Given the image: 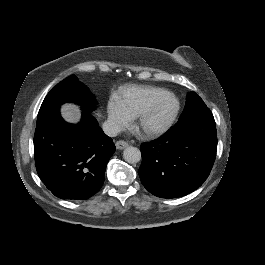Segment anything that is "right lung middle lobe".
Masks as SVG:
<instances>
[{
    "label": "right lung middle lobe",
    "instance_id": "right-lung-middle-lobe-1",
    "mask_svg": "<svg viewBox=\"0 0 265 265\" xmlns=\"http://www.w3.org/2000/svg\"><path fill=\"white\" fill-rule=\"evenodd\" d=\"M67 102L79 103L83 106L84 112L91 113L96 108L94 95L88 87L71 75L58 83L44 99L37 117V121L47 116L53 110L60 109V106Z\"/></svg>",
    "mask_w": 265,
    "mask_h": 265
}]
</instances>
